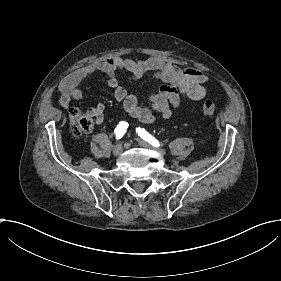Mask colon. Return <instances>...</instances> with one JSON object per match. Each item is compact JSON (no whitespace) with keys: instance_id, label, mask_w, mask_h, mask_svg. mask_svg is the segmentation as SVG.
<instances>
[{"instance_id":"colon-1","label":"colon","mask_w":281,"mask_h":281,"mask_svg":"<svg viewBox=\"0 0 281 281\" xmlns=\"http://www.w3.org/2000/svg\"><path fill=\"white\" fill-rule=\"evenodd\" d=\"M217 109V104L211 100L203 101L200 105V112L203 115H214ZM76 128L81 133H88L92 128V122L86 116H78L76 119Z\"/></svg>"}]
</instances>
